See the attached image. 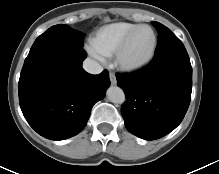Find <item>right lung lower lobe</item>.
<instances>
[{
	"label": "right lung lower lobe",
	"mask_w": 219,
	"mask_h": 174,
	"mask_svg": "<svg viewBox=\"0 0 219 174\" xmlns=\"http://www.w3.org/2000/svg\"><path fill=\"white\" fill-rule=\"evenodd\" d=\"M86 52L55 44L25 59L18 83L19 103L29 125L41 136L64 140L80 133L93 105L104 98L109 73L88 74Z\"/></svg>",
	"instance_id": "right-lung-lower-lobe-1"
}]
</instances>
